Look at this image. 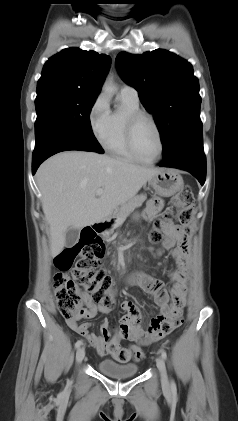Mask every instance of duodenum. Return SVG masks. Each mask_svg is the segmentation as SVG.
<instances>
[{"label":"duodenum","instance_id":"410a0bca","mask_svg":"<svg viewBox=\"0 0 238 421\" xmlns=\"http://www.w3.org/2000/svg\"><path fill=\"white\" fill-rule=\"evenodd\" d=\"M110 224L106 221H97L94 224H92L90 227H87L84 232L86 233H92L94 235H99L103 232H105L109 228Z\"/></svg>","mask_w":238,"mask_h":421}]
</instances>
